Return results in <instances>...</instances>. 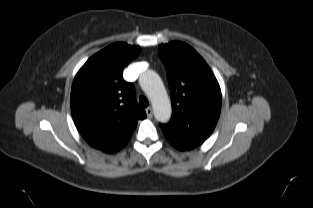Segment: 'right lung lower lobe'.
I'll return each instance as SVG.
<instances>
[{
	"mask_svg": "<svg viewBox=\"0 0 313 208\" xmlns=\"http://www.w3.org/2000/svg\"><path fill=\"white\" fill-rule=\"evenodd\" d=\"M92 147L96 148V149H100L106 153H115L117 151H119L122 147H124L126 145V143L124 145H112V144H105V143H89Z\"/></svg>",
	"mask_w": 313,
	"mask_h": 208,
	"instance_id": "1",
	"label": "right lung lower lobe"
}]
</instances>
